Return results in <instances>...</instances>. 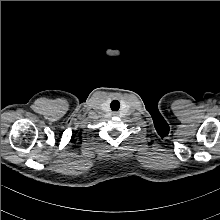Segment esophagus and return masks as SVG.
<instances>
[{"mask_svg":"<svg viewBox=\"0 0 220 220\" xmlns=\"http://www.w3.org/2000/svg\"><path fill=\"white\" fill-rule=\"evenodd\" d=\"M113 115H114V116H117V112H114Z\"/></svg>","mask_w":220,"mask_h":220,"instance_id":"obj_1","label":"esophagus"}]
</instances>
